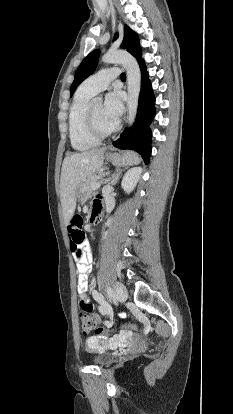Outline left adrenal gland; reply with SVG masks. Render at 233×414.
Listing matches in <instances>:
<instances>
[{
    "mask_svg": "<svg viewBox=\"0 0 233 414\" xmlns=\"http://www.w3.org/2000/svg\"><path fill=\"white\" fill-rule=\"evenodd\" d=\"M123 171H124V169H122L120 167L116 168L115 172L112 175V179H111V184L112 185H116V183L118 182L119 177H120V175Z\"/></svg>",
    "mask_w": 233,
    "mask_h": 414,
    "instance_id": "a2214340",
    "label": "left adrenal gland"
}]
</instances>
